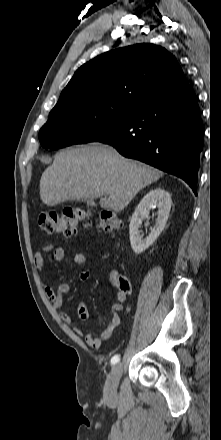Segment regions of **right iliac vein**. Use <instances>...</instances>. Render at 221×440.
Masks as SVG:
<instances>
[{
  "label": "right iliac vein",
  "mask_w": 221,
  "mask_h": 440,
  "mask_svg": "<svg viewBox=\"0 0 221 440\" xmlns=\"http://www.w3.org/2000/svg\"><path fill=\"white\" fill-rule=\"evenodd\" d=\"M122 372L123 367L121 363L113 365L104 386V397L106 399H114L117 396V388Z\"/></svg>",
  "instance_id": "right-iliac-vein-1"
}]
</instances>
